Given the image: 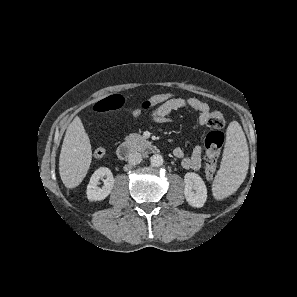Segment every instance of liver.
Here are the masks:
<instances>
[{"instance_id": "liver-1", "label": "liver", "mask_w": 297, "mask_h": 297, "mask_svg": "<svg viewBox=\"0 0 297 297\" xmlns=\"http://www.w3.org/2000/svg\"><path fill=\"white\" fill-rule=\"evenodd\" d=\"M91 160L89 137L81 119L76 116L66 130L59 158L60 178L65 187L75 188L82 182Z\"/></svg>"}]
</instances>
